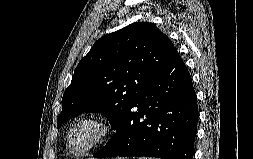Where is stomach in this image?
I'll return each instance as SVG.
<instances>
[{"mask_svg": "<svg viewBox=\"0 0 253 159\" xmlns=\"http://www.w3.org/2000/svg\"><path fill=\"white\" fill-rule=\"evenodd\" d=\"M116 159H125V158H123V157H118V158H116Z\"/></svg>", "mask_w": 253, "mask_h": 159, "instance_id": "0dacf381", "label": "stomach"}]
</instances>
